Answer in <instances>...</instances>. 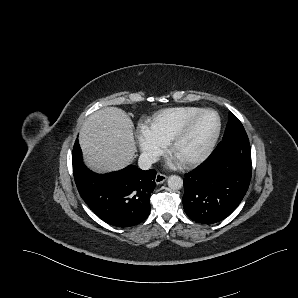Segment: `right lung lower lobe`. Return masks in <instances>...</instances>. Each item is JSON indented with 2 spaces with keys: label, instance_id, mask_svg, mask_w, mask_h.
Masks as SVG:
<instances>
[{
  "label": "right lung lower lobe",
  "instance_id": "right-lung-lower-lobe-1",
  "mask_svg": "<svg viewBox=\"0 0 298 298\" xmlns=\"http://www.w3.org/2000/svg\"><path fill=\"white\" fill-rule=\"evenodd\" d=\"M74 179L80 196L103 221L117 227L134 226L150 214V196L156 171L128 167L108 174L90 171L82 161L76 140L72 152Z\"/></svg>",
  "mask_w": 298,
  "mask_h": 298
}]
</instances>
